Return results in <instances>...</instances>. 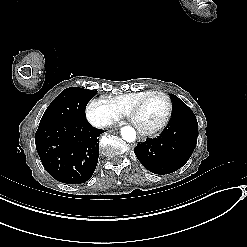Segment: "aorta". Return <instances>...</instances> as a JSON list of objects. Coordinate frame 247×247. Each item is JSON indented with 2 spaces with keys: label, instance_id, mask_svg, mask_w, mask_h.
I'll return each mask as SVG.
<instances>
[{
  "label": "aorta",
  "instance_id": "obj_1",
  "mask_svg": "<svg viewBox=\"0 0 247 247\" xmlns=\"http://www.w3.org/2000/svg\"><path fill=\"white\" fill-rule=\"evenodd\" d=\"M121 136L126 142H134L136 139V132L134 128L124 126L121 128Z\"/></svg>",
  "mask_w": 247,
  "mask_h": 247
}]
</instances>
